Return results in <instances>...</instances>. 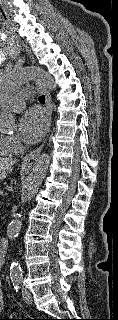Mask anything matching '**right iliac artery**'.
<instances>
[{
	"label": "right iliac artery",
	"instance_id": "obj_1",
	"mask_svg": "<svg viewBox=\"0 0 118 320\" xmlns=\"http://www.w3.org/2000/svg\"><path fill=\"white\" fill-rule=\"evenodd\" d=\"M13 286H14V289L16 291H18L20 289V287H21V281L20 280H14L13 281Z\"/></svg>",
	"mask_w": 118,
	"mask_h": 320
}]
</instances>
